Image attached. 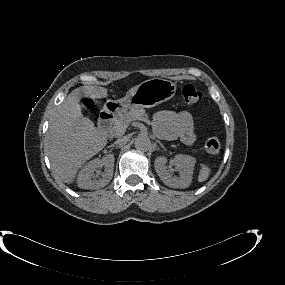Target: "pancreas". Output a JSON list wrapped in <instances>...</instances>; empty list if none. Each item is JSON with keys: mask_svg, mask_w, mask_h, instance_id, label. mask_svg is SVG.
<instances>
[{"mask_svg": "<svg viewBox=\"0 0 285 285\" xmlns=\"http://www.w3.org/2000/svg\"><path fill=\"white\" fill-rule=\"evenodd\" d=\"M147 114L143 108H134L130 111H126L123 114H120L114 121L113 126L111 128V132L114 136H122L130 121L136 120L139 118H146Z\"/></svg>", "mask_w": 285, "mask_h": 285, "instance_id": "cf45deb5", "label": "pancreas"}]
</instances>
